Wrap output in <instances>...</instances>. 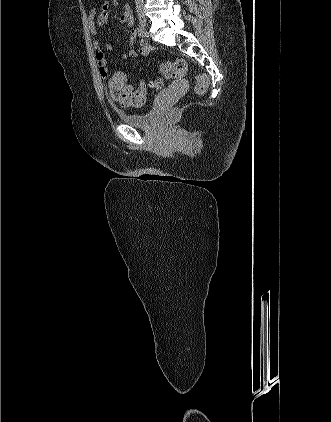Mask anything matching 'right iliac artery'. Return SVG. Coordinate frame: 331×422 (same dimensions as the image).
<instances>
[{
  "label": "right iliac artery",
  "mask_w": 331,
  "mask_h": 422,
  "mask_svg": "<svg viewBox=\"0 0 331 422\" xmlns=\"http://www.w3.org/2000/svg\"><path fill=\"white\" fill-rule=\"evenodd\" d=\"M145 34H146L145 30H144L141 26H139V27H138V35H139L140 37H144V36H145Z\"/></svg>",
  "instance_id": "1"
}]
</instances>
